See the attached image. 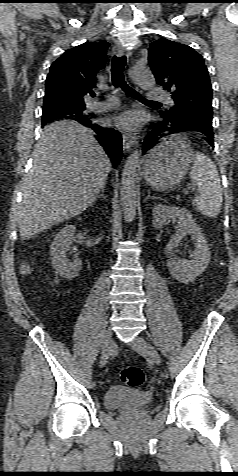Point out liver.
Masks as SVG:
<instances>
[{
    "instance_id": "6515ba94",
    "label": "liver",
    "mask_w": 238,
    "mask_h": 476,
    "mask_svg": "<svg viewBox=\"0 0 238 476\" xmlns=\"http://www.w3.org/2000/svg\"><path fill=\"white\" fill-rule=\"evenodd\" d=\"M110 171L111 162L90 129L75 121L47 125L23 180L20 238L30 239L82 213L105 187Z\"/></svg>"
}]
</instances>
